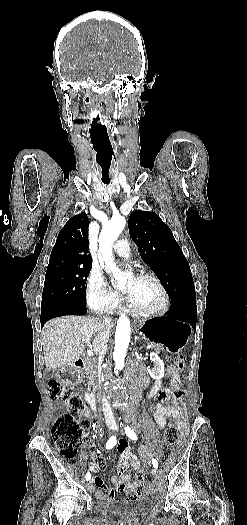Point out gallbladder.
Here are the masks:
<instances>
[{
  "instance_id": "gallbladder-1",
  "label": "gallbladder",
  "mask_w": 247,
  "mask_h": 525,
  "mask_svg": "<svg viewBox=\"0 0 247 525\" xmlns=\"http://www.w3.org/2000/svg\"><path fill=\"white\" fill-rule=\"evenodd\" d=\"M55 375H57V373H55V371H51V369H48V371H46L44 373V378L46 380H51L53 377H55Z\"/></svg>"
}]
</instances>
